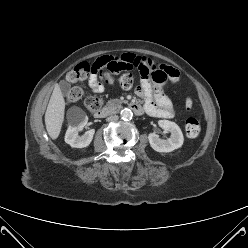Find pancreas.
<instances>
[{
    "instance_id": "cf45deb5",
    "label": "pancreas",
    "mask_w": 248,
    "mask_h": 248,
    "mask_svg": "<svg viewBox=\"0 0 248 248\" xmlns=\"http://www.w3.org/2000/svg\"><path fill=\"white\" fill-rule=\"evenodd\" d=\"M122 101L119 99H113L107 102L106 107L109 109H117L121 106Z\"/></svg>"
}]
</instances>
